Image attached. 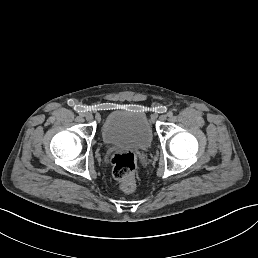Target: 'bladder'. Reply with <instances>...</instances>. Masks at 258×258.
I'll return each instance as SVG.
<instances>
[{
	"instance_id": "obj_1",
	"label": "bladder",
	"mask_w": 258,
	"mask_h": 258,
	"mask_svg": "<svg viewBox=\"0 0 258 258\" xmlns=\"http://www.w3.org/2000/svg\"><path fill=\"white\" fill-rule=\"evenodd\" d=\"M102 138L105 144L127 152L144 151L151 144L152 129L144 112L135 107H122L104 119Z\"/></svg>"
}]
</instances>
